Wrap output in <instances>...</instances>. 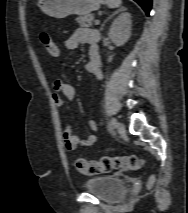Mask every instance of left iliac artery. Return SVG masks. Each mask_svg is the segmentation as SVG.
<instances>
[{"label":"left iliac artery","mask_w":188,"mask_h":213,"mask_svg":"<svg viewBox=\"0 0 188 213\" xmlns=\"http://www.w3.org/2000/svg\"><path fill=\"white\" fill-rule=\"evenodd\" d=\"M116 123H117V121H116L115 118H112V119L110 120V125H111L112 128H114V127L116 126Z\"/></svg>","instance_id":"obj_1"}]
</instances>
